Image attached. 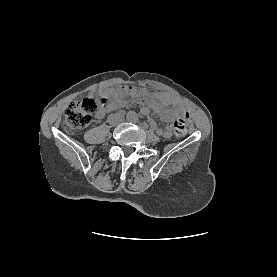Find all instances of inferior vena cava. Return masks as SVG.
Segmentation results:
<instances>
[{
  "label": "inferior vena cava",
  "instance_id": "obj_1",
  "mask_svg": "<svg viewBox=\"0 0 277 277\" xmlns=\"http://www.w3.org/2000/svg\"><path fill=\"white\" fill-rule=\"evenodd\" d=\"M122 121H123V117H122V118L120 117V119H119V122H118V123H121Z\"/></svg>",
  "mask_w": 277,
  "mask_h": 277
}]
</instances>
